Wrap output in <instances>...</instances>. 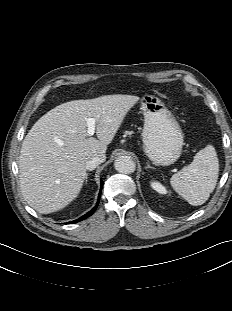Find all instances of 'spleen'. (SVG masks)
Here are the masks:
<instances>
[{
	"label": "spleen",
	"mask_w": 232,
	"mask_h": 311,
	"mask_svg": "<svg viewBox=\"0 0 232 311\" xmlns=\"http://www.w3.org/2000/svg\"><path fill=\"white\" fill-rule=\"evenodd\" d=\"M219 163L215 148L207 145L194 156L188 166L170 179L173 189L193 206L205 203L215 189Z\"/></svg>",
	"instance_id": "spleen-1"
}]
</instances>
